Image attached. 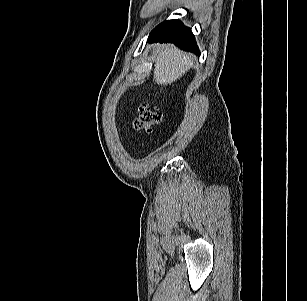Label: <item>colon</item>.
I'll return each mask as SVG.
<instances>
[{
	"mask_svg": "<svg viewBox=\"0 0 307 301\" xmlns=\"http://www.w3.org/2000/svg\"><path fill=\"white\" fill-rule=\"evenodd\" d=\"M160 120L161 114L156 108L150 105H142L139 108L138 118L134 123L138 129H151L158 124Z\"/></svg>",
	"mask_w": 307,
	"mask_h": 301,
	"instance_id": "obj_1",
	"label": "colon"
}]
</instances>
